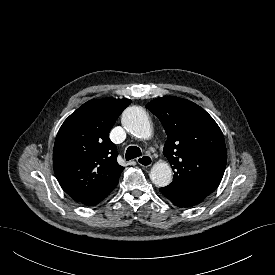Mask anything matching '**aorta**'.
<instances>
[{"mask_svg":"<svg viewBox=\"0 0 275 275\" xmlns=\"http://www.w3.org/2000/svg\"><path fill=\"white\" fill-rule=\"evenodd\" d=\"M123 127L132 135L148 139L152 135V129L148 115L144 109L138 106L128 107L122 114ZM150 179L158 187H165L172 181V170L168 163H156L150 171Z\"/></svg>","mask_w":275,"mask_h":275,"instance_id":"762f6f07","label":"aorta"}]
</instances>
